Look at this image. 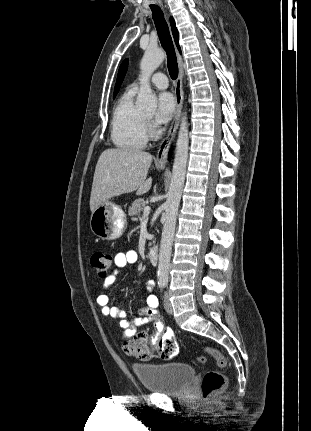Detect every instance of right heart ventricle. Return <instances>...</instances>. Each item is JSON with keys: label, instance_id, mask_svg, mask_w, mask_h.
I'll return each mask as SVG.
<instances>
[{"label": "right heart ventricle", "instance_id": "e07e8e85", "mask_svg": "<svg viewBox=\"0 0 311 431\" xmlns=\"http://www.w3.org/2000/svg\"><path fill=\"white\" fill-rule=\"evenodd\" d=\"M134 95L135 91L129 88L113 110L110 137L120 150H139L147 142L145 116L134 105Z\"/></svg>", "mask_w": 311, "mask_h": 431}]
</instances>
